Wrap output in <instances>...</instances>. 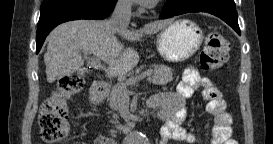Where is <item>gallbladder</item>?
<instances>
[{"mask_svg":"<svg viewBox=\"0 0 273 144\" xmlns=\"http://www.w3.org/2000/svg\"><path fill=\"white\" fill-rule=\"evenodd\" d=\"M80 76L83 74V71L82 70H79V73H78Z\"/></svg>","mask_w":273,"mask_h":144,"instance_id":"1","label":"gallbladder"}]
</instances>
